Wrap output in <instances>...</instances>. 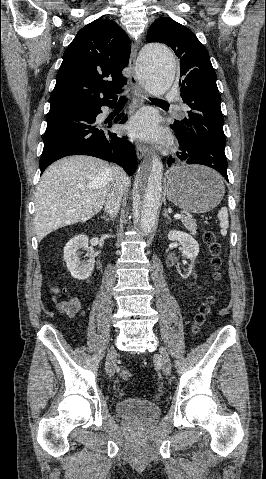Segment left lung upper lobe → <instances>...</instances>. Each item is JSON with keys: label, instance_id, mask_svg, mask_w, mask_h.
Wrapping results in <instances>:
<instances>
[{"label": "left lung upper lobe", "instance_id": "5c2ea615", "mask_svg": "<svg viewBox=\"0 0 266 479\" xmlns=\"http://www.w3.org/2000/svg\"><path fill=\"white\" fill-rule=\"evenodd\" d=\"M147 41L170 46L179 59L181 97L191 110L172 126L183 136L189 152L202 163L227 161L221 96L207 49L190 29L166 17L153 22Z\"/></svg>", "mask_w": 266, "mask_h": 479}]
</instances>
